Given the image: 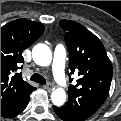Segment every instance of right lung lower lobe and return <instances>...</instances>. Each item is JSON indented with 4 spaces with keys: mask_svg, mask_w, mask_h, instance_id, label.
<instances>
[{
    "mask_svg": "<svg viewBox=\"0 0 121 121\" xmlns=\"http://www.w3.org/2000/svg\"><path fill=\"white\" fill-rule=\"evenodd\" d=\"M36 89V88H35ZM34 89V90H35ZM33 90V91H34ZM32 91V92H33ZM31 92V93H32ZM29 93L25 98H23L22 100H20L19 102H17L15 105H13L12 107L4 110L1 112V116L3 117H13L18 115L19 113H21L27 106L29 99H30V94Z\"/></svg>",
    "mask_w": 121,
    "mask_h": 121,
    "instance_id": "obj_1",
    "label": "right lung lower lobe"
}]
</instances>
